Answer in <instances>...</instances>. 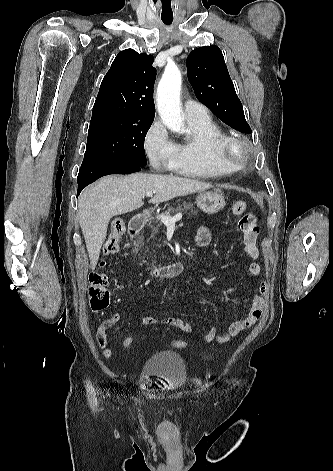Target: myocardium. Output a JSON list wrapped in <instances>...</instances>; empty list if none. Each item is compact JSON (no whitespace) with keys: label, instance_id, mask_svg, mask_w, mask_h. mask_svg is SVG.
<instances>
[{"label":"myocardium","instance_id":"f54148a6","mask_svg":"<svg viewBox=\"0 0 333 471\" xmlns=\"http://www.w3.org/2000/svg\"><path fill=\"white\" fill-rule=\"evenodd\" d=\"M248 153V143L235 137H227L219 148L220 158L234 168H240L247 163Z\"/></svg>","mask_w":333,"mask_h":471}]
</instances>
